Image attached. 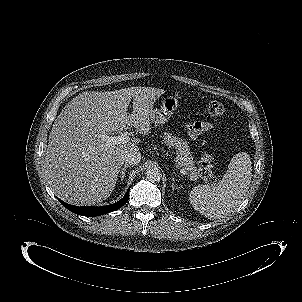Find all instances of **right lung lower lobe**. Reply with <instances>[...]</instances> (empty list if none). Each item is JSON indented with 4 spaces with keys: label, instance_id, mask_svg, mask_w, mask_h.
Returning <instances> with one entry per match:
<instances>
[{
    "label": "right lung lower lobe",
    "instance_id": "right-lung-lower-lobe-1",
    "mask_svg": "<svg viewBox=\"0 0 302 302\" xmlns=\"http://www.w3.org/2000/svg\"><path fill=\"white\" fill-rule=\"evenodd\" d=\"M128 199H129V189L123 199L112 205H107L102 207H90V206L79 207V206L69 205L60 199L58 200L64 207H66L68 210H70L75 214L82 215V216H99L121 208L128 201Z\"/></svg>",
    "mask_w": 302,
    "mask_h": 302
}]
</instances>
